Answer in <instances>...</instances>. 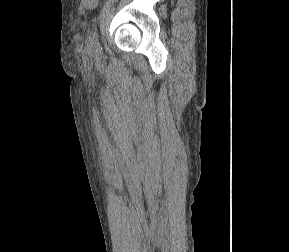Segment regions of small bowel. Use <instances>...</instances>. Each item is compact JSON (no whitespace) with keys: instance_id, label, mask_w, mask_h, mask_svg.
I'll use <instances>...</instances> for the list:
<instances>
[{"instance_id":"small-bowel-1","label":"small bowel","mask_w":289,"mask_h":252,"mask_svg":"<svg viewBox=\"0 0 289 252\" xmlns=\"http://www.w3.org/2000/svg\"><path fill=\"white\" fill-rule=\"evenodd\" d=\"M80 2L85 9L92 10L97 7L99 0H80Z\"/></svg>"}]
</instances>
